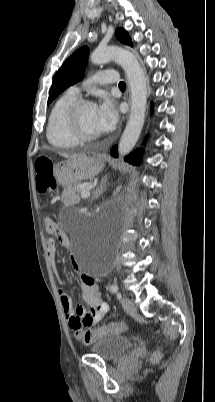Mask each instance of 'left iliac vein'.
Returning <instances> with one entry per match:
<instances>
[{"label":"left iliac vein","instance_id":"left-iliac-vein-1","mask_svg":"<svg viewBox=\"0 0 215 402\" xmlns=\"http://www.w3.org/2000/svg\"><path fill=\"white\" fill-rule=\"evenodd\" d=\"M121 302H122V306L126 312H128V313L136 312L135 305L131 299L124 297Z\"/></svg>","mask_w":215,"mask_h":402}]
</instances>
